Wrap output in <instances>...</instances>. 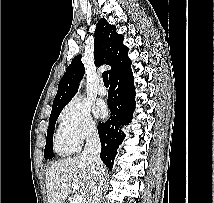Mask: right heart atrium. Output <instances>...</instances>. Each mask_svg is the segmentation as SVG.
I'll list each match as a JSON object with an SVG mask.
<instances>
[{
    "label": "right heart atrium",
    "instance_id": "d8ad5b80",
    "mask_svg": "<svg viewBox=\"0 0 214 203\" xmlns=\"http://www.w3.org/2000/svg\"><path fill=\"white\" fill-rule=\"evenodd\" d=\"M59 123L77 147L97 134V124L89 106L78 98L71 100L64 107L59 116Z\"/></svg>",
    "mask_w": 214,
    "mask_h": 203
}]
</instances>
